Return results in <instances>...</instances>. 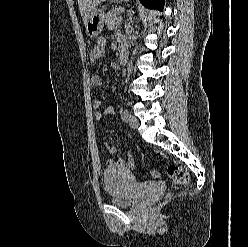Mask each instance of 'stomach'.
<instances>
[{
  "mask_svg": "<svg viewBox=\"0 0 248 247\" xmlns=\"http://www.w3.org/2000/svg\"><path fill=\"white\" fill-rule=\"evenodd\" d=\"M125 1V0H119ZM104 23V13L101 10H95L89 14L88 19L86 20L85 27L86 33L89 37L95 38L97 37L102 29Z\"/></svg>",
  "mask_w": 248,
  "mask_h": 247,
  "instance_id": "0dacf381",
  "label": "stomach"
}]
</instances>
